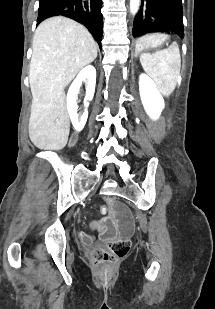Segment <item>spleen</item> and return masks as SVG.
<instances>
[{
  "instance_id": "3e777b00",
  "label": "spleen",
  "mask_w": 215,
  "mask_h": 309,
  "mask_svg": "<svg viewBox=\"0 0 215 309\" xmlns=\"http://www.w3.org/2000/svg\"><path fill=\"white\" fill-rule=\"evenodd\" d=\"M140 62L147 74L153 78L155 86L164 96H170L175 90L180 70L181 56L177 42L168 48L156 50L153 54L142 52Z\"/></svg>"
}]
</instances>
